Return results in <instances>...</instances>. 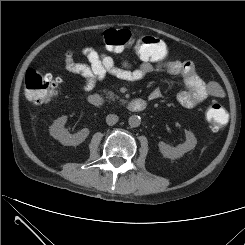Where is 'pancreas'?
<instances>
[{
    "label": "pancreas",
    "instance_id": "1",
    "mask_svg": "<svg viewBox=\"0 0 245 245\" xmlns=\"http://www.w3.org/2000/svg\"><path fill=\"white\" fill-rule=\"evenodd\" d=\"M104 93L106 94V98L112 101L118 100L119 97L114 94L112 91L104 90ZM122 104L125 103L124 99L119 100Z\"/></svg>",
    "mask_w": 245,
    "mask_h": 245
}]
</instances>
